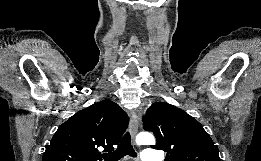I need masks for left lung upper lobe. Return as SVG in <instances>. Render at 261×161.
<instances>
[{
  "mask_svg": "<svg viewBox=\"0 0 261 161\" xmlns=\"http://www.w3.org/2000/svg\"><path fill=\"white\" fill-rule=\"evenodd\" d=\"M143 127L157 139L152 148L167 152L165 161H221L203 126L173 105L153 103L143 117Z\"/></svg>",
  "mask_w": 261,
  "mask_h": 161,
  "instance_id": "obj_1",
  "label": "left lung upper lobe"
}]
</instances>
